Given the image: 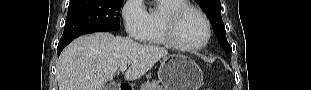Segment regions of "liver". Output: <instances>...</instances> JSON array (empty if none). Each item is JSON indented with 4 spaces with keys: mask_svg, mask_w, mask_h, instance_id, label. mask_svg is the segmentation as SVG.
I'll return each instance as SVG.
<instances>
[{
    "mask_svg": "<svg viewBox=\"0 0 311 90\" xmlns=\"http://www.w3.org/2000/svg\"><path fill=\"white\" fill-rule=\"evenodd\" d=\"M168 51L131 38L98 32L81 36L61 53L57 65L59 90H102L119 68L129 65L126 80L142 77Z\"/></svg>",
    "mask_w": 311,
    "mask_h": 90,
    "instance_id": "liver-1",
    "label": "liver"
}]
</instances>
